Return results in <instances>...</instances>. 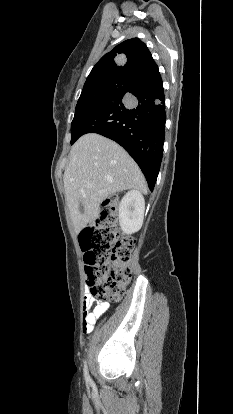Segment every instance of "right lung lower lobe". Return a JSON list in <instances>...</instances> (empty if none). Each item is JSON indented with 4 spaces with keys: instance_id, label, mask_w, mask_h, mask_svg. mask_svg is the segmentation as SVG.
Masks as SVG:
<instances>
[{
    "instance_id": "right-lung-lower-lobe-1",
    "label": "right lung lower lobe",
    "mask_w": 233,
    "mask_h": 414,
    "mask_svg": "<svg viewBox=\"0 0 233 414\" xmlns=\"http://www.w3.org/2000/svg\"><path fill=\"white\" fill-rule=\"evenodd\" d=\"M160 73L133 81L122 96L92 111L78 128V138L98 133L120 144L141 168L152 191L162 160L166 122Z\"/></svg>"
}]
</instances>
